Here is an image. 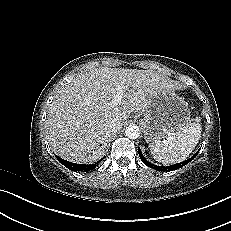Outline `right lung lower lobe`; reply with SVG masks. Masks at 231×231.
Masks as SVG:
<instances>
[{"instance_id":"obj_1","label":"right lung lower lobe","mask_w":231,"mask_h":231,"mask_svg":"<svg viewBox=\"0 0 231 231\" xmlns=\"http://www.w3.org/2000/svg\"><path fill=\"white\" fill-rule=\"evenodd\" d=\"M56 157L60 163H62L65 167H67L68 169H70L72 171H84V172H86V171L94 169L97 166V163L92 164V165L76 164V163L66 161V160H64L58 156H56Z\"/></svg>"}]
</instances>
